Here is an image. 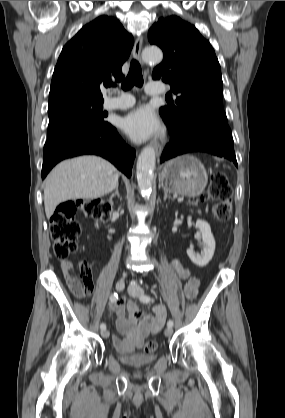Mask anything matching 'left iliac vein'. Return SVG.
Returning a JSON list of instances; mask_svg holds the SVG:
<instances>
[{
    "instance_id": "left-iliac-vein-1",
    "label": "left iliac vein",
    "mask_w": 285,
    "mask_h": 418,
    "mask_svg": "<svg viewBox=\"0 0 285 418\" xmlns=\"http://www.w3.org/2000/svg\"><path fill=\"white\" fill-rule=\"evenodd\" d=\"M128 292L132 297H140L144 294L143 289L138 285H130L128 287ZM173 333L172 327H167L165 329V336L170 337Z\"/></svg>"
}]
</instances>
